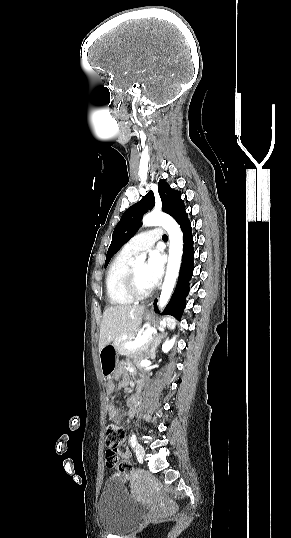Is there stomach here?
<instances>
[{
	"label": "stomach",
	"instance_id": "stomach-1",
	"mask_svg": "<svg viewBox=\"0 0 291 538\" xmlns=\"http://www.w3.org/2000/svg\"><path fill=\"white\" fill-rule=\"evenodd\" d=\"M145 319L150 321L151 315L145 314ZM100 369L103 378H109L116 371L118 364V352L114 345H106L99 351Z\"/></svg>",
	"mask_w": 291,
	"mask_h": 538
}]
</instances>
